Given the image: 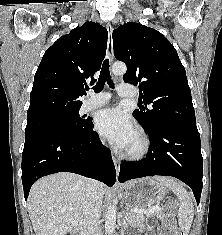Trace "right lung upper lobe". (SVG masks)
Returning a JSON list of instances; mask_svg holds the SVG:
<instances>
[{
    "instance_id": "right-lung-upper-lobe-1",
    "label": "right lung upper lobe",
    "mask_w": 222,
    "mask_h": 235,
    "mask_svg": "<svg viewBox=\"0 0 222 235\" xmlns=\"http://www.w3.org/2000/svg\"><path fill=\"white\" fill-rule=\"evenodd\" d=\"M107 29L85 22L60 37L44 54L35 73L27 118L82 104L86 81H95L106 54Z\"/></svg>"
}]
</instances>
